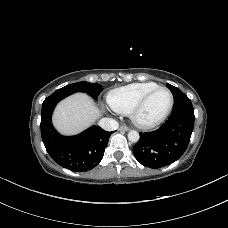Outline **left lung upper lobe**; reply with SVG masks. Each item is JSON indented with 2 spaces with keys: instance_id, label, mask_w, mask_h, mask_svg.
Returning a JSON list of instances; mask_svg holds the SVG:
<instances>
[{
  "instance_id": "obj_1",
  "label": "left lung upper lobe",
  "mask_w": 228,
  "mask_h": 228,
  "mask_svg": "<svg viewBox=\"0 0 228 228\" xmlns=\"http://www.w3.org/2000/svg\"><path fill=\"white\" fill-rule=\"evenodd\" d=\"M167 87L171 90V92L173 94V97H174V100H176L177 98H180V97L185 95L178 88H176V87H174V86H172L170 84H167Z\"/></svg>"
}]
</instances>
